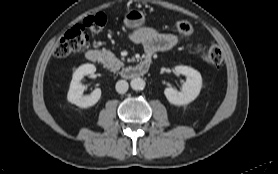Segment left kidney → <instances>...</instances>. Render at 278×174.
<instances>
[{
	"label": "left kidney",
	"mask_w": 278,
	"mask_h": 174,
	"mask_svg": "<svg viewBox=\"0 0 278 174\" xmlns=\"http://www.w3.org/2000/svg\"><path fill=\"white\" fill-rule=\"evenodd\" d=\"M176 74L186 76L181 91L173 88H166L164 94L167 100L174 105H186L194 101L202 88L201 74L188 66L179 65L175 67Z\"/></svg>",
	"instance_id": "left-kidney-1"
}]
</instances>
